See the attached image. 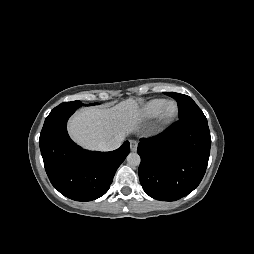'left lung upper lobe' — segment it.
Here are the masks:
<instances>
[{
    "mask_svg": "<svg viewBox=\"0 0 254 254\" xmlns=\"http://www.w3.org/2000/svg\"><path fill=\"white\" fill-rule=\"evenodd\" d=\"M165 94L174 98L178 102L179 119L186 118L206 119L201 109L189 96L174 92H167Z\"/></svg>",
    "mask_w": 254,
    "mask_h": 254,
    "instance_id": "1",
    "label": "left lung upper lobe"
}]
</instances>
